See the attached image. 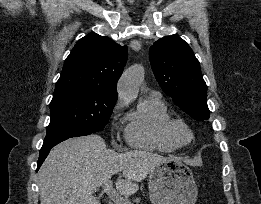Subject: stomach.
<instances>
[{"label": "stomach", "instance_id": "obj_1", "mask_svg": "<svg viewBox=\"0 0 261 204\" xmlns=\"http://www.w3.org/2000/svg\"><path fill=\"white\" fill-rule=\"evenodd\" d=\"M148 185L152 204H195L198 195L191 169L177 159L151 170Z\"/></svg>", "mask_w": 261, "mask_h": 204}]
</instances>
